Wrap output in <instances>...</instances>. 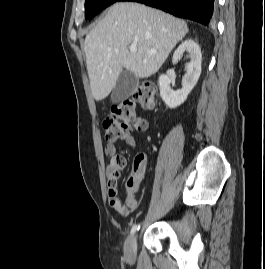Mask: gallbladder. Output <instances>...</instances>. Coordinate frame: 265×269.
<instances>
[{
	"label": "gallbladder",
	"mask_w": 265,
	"mask_h": 269,
	"mask_svg": "<svg viewBox=\"0 0 265 269\" xmlns=\"http://www.w3.org/2000/svg\"><path fill=\"white\" fill-rule=\"evenodd\" d=\"M138 83L139 79L135 74L122 71L111 94L112 103H120L129 98L137 89Z\"/></svg>",
	"instance_id": "1"
}]
</instances>
